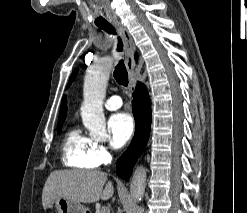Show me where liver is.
Wrapping results in <instances>:
<instances>
[{
  "mask_svg": "<svg viewBox=\"0 0 247 213\" xmlns=\"http://www.w3.org/2000/svg\"><path fill=\"white\" fill-rule=\"evenodd\" d=\"M106 181L107 173L98 170L53 171L43 188V207L46 208V203L52 197H63L80 203L108 200L114 194V187L111 181Z\"/></svg>",
  "mask_w": 247,
  "mask_h": 213,
  "instance_id": "1",
  "label": "liver"
}]
</instances>
